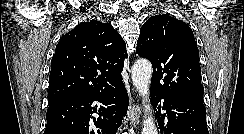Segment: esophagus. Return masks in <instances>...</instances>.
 <instances>
[{
  "instance_id": "esophagus-1",
  "label": "esophagus",
  "mask_w": 244,
  "mask_h": 134,
  "mask_svg": "<svg viewBox=\"0 0 244 134\" xmlns=\"http://www.w3.org/2000/svg\"><path fill=\"white\" fill-rule=\"evenodd\" d=\"M139 111L140 107L137 103H133L129 106L128 110V119L130 120V124L134 127H136L139 124Z\"/></svg>"
}]
</instances>
